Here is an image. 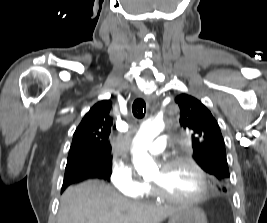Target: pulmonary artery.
Here are the masks:
<instances>
[{"label": "pulmonary artery", "mask_w": 267, "mask_h": 223, "mask_svg": "<svg viewBox=\"0 0 267 223\" xmlns=\"http://www.w3.org/2000/svg\"><path fill=\"white\" fill-rule=\"evenodd\" d=\"M168 139L167 135H159L154 144L147 148V151L153 155L162 153L165 150Z\"/></svg>", "instance_id": "obj_1"}]
</instances>
